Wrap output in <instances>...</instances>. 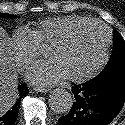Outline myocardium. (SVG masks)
<instances>
[{
  "label": "myocardium",
  "mask_w": 125,
  "mask_h": 125,
  "mask_svg": "<svg viewBox=\"0 0 125 125\" xmlns=\"http://www.w3.org/2000/svg\"><path fill=\"white\" fill-rule=\"evenodd\" d=\"M91 24H96L99 25L105 33V45H104V49H103V53L101 55V58L99 59L98 63L89 71L77 75V76H69L70 80L74 81V82H83L86 81L94 76H96L106 65V63L109 60V55H110V49H111V45H112V32L110 30V28L103 23L102 21L98 20V19H88V20H84L82 22H79L71 27H69L63 34H61L56 40H54L52 42V44L50 45V49L58 47L62 44H64L65 42H67L72 35L81 27L86 26V25H91Z\"/></svg>",
  "instance_id": "f54148a6"
}]
</instances>
